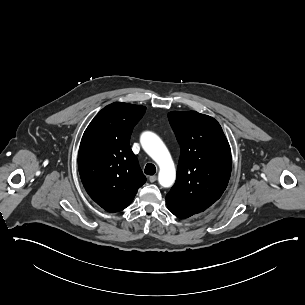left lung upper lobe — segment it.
<instances>
[{"label": "left lung upper lobe", "instance_id": "left-lung-upper-lobe-1", "mask_svg": "<svg viewBox=\"0 0 305 305\" xmlns=\"http://www.w3.org/2000/svg\"><path fill=\"white\" fill-rule=\"evenodd\" d=\"M169 122L180 144L174 186L166 202L193 214L216 202L231 174V149L220 124L195 111H173Z\"/></svg>", "mask_w": 305, "mask_h": 305}]
</instances>
